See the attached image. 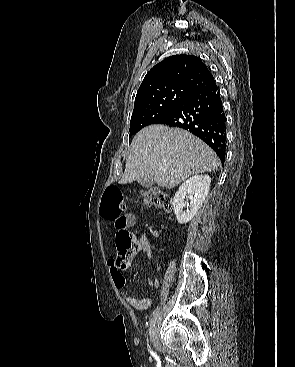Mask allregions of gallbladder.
<instances>
[{
    "instance_id": "bac80fb5",
    "label": "gallbladder",
    "mask_w": 295,
    "mask_h": 367,
    "mask_svg": "<svg viewBox=\"0 0 295 367\" xmlns=\"http://www.w3.org/2000/svg\"><path fill=\"white\" fill-rule=\"evenodd\" d=\"M138 183L144 188H151L154 184V181L143 177L138 180Z\"/></svg>"
}]
</instances>
